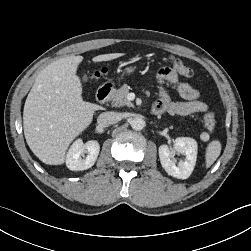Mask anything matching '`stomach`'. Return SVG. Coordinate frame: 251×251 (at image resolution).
<instances>
[{
  "instance_id": "stomach-1",
  "label": "stomach",
  "mask_w": 251,
  "mask_h": 251,
  "mask_svg": "<svg viewBox=\"0 0 251 251\" xmlns=\"http://www.w3.org/2000/svg\"><path fill=\"white\" fill-rule=\"evenodd\" d=\"M134 70H135V67H133V66H128V67L125 68V72H126L127 74L133 73Z\"/></svg>"
}]
</instances>
